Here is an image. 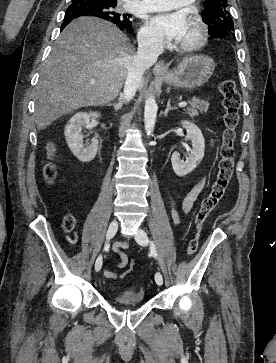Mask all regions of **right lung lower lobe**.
Wrapping results in <instances>:
<instances>
[{
	"label": "right lung lower lobe",
	"instance_id": "1",
	"mask_svg": "<svg viewBox=\"0 0 276 363\" xmlns=\"http://www.w3.org/2000/svg\"><path fill=\"white\" fill-rule=\"evenodd\" d=\"M80 16H96L98 17L96 14L93 13H89L88 11H75L73 13H66L64 20H63V24L61 25V30L70 23L71 20L78 18ZM117 26L121 29V30H128V31H132L131 28V23L128 24H124V25H119L117 24Z\"/></svg>",
	"mask_w": 276,
	"mask_h": 363
}]
</instances>
